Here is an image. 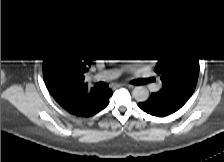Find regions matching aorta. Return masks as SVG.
I'll return each instance as SVG.
<instances>
[{
  "label": "aorta",
  "mask_w": 224,
  "mask_h": 162,
  "mask_svg": "<svg viewBox=\"0 0 224 162\" xmlns=\"http://www.w3.org/2000/svg\"><path fill=\"white\" fill-rule=\"evenodd\" d=\"M132 96L137 102H145L149 98V91L144 86H137L134 88Z\"/></svg>",
  "instance_id": "aorta-1"
}]
</instances>
